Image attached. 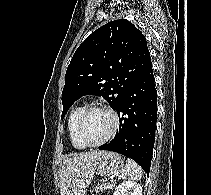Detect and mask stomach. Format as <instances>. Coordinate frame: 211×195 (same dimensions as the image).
Wrapping results in <instances>:
<instances>
[{
    "label": "stomach",
    "instance_id": "stomach-1",
    "mask_svg": "<svg viewBox=\"0 0 211 195\" xmlns=\"http://www.w3.org/2000/svg\"><path fill=\"white\" fill-rule=\"evenodd\" d=\"M124 165V158L115 152H103L95 161L93 175H113L119 172ZM92 180V178H91Z\"/></svg>",
    "mask_w": 211,
    "mask_h": 195
}]
</instances>
